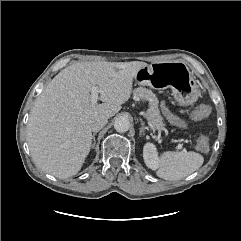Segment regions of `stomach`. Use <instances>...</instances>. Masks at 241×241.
<instances>
[{"instance_id": "stomach-1", "label": "stomach", "mask_w": 241, "mask_h": 241, "mask_svg": "<svg viewBox=\"0 0 241 241\" xmlns=\"http://www.w3.org/2000/svg\"><path fill=\"white\" fill-rule=\"evenodd\" d=\"M138 85L156 90L171 88L181 105L194 103L199 94L198 86L187 65L182 61L154 62L142 67L135 75Z\"/></svg>"}]
</instances>
